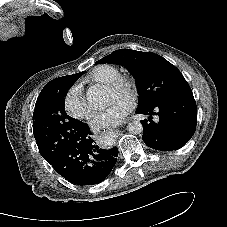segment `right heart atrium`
Listing matches in <instances>:
<instances>
[{"label":"right heart atrium","instance_id":"1","mask_svg":"<svg viewBox=\"0 0 227 227\" xmlns=\"http://www.w3.org/2000/svg\"><path fill=\"white\" fill-rule=\"evenodd\" d=\"M63 105L66 113L78 120L89 118L92 114V109L79 85H73L67 90Z\"/></svg>","mask_w":227,"mask_h":227}]
</instances>
